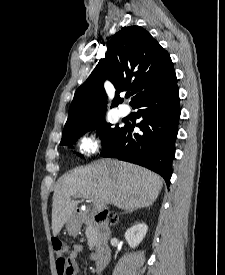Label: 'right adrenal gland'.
Here are the masks:
<instances>
[{
    "label": "right adrenal gland",
    "instance_id": "2a0ac1e0",
    "mask_svg": "<svg viewBox=\"0 0 225 275\" xmlns=\"http://www.w3.org/2000/svg\"><path fill=\"white\" fill-rule=\"evenodd\" d=\"M126 212H132V209L126 210Z\"/></svg>",
    "mask_w": 225,
    "mask_h": 275
}]
</instances>
